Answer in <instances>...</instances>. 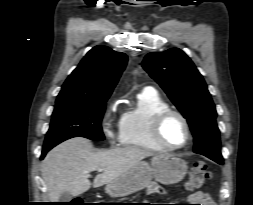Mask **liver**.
I'll return each instance as SVG.
<instances>
[{"instance_id":"obj_1","label":"liver","mask_w":253,"mask_h":205,"mask_svg":"<svg viewBox=\"0 0 253 205\" xmlns=\"http://www.w3.org/2000/svg\"><path fill=\"white\" fill-rule=\"evenodd\" d=\"M149 156L151 152L133 146L94 152L86 138L66 140L54 147L41 164L49 200L58 202L63 192L78 196L88 191L92 171L102 170L93 181L94 188L107 185Z\"/></svg>"}]
</instances>
